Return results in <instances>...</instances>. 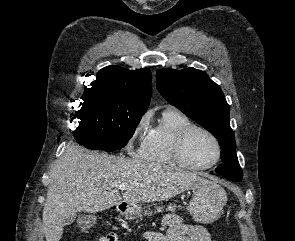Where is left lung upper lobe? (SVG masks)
Returning a JSON list of instances; mask_svg holds the SVG:
<instances>
[{
  "label": "left lung upper lobe",
  "mask_w": 295,
  "mask_h": 241,
  "mask_svg": "<svg viewBox=\"0 0 295 241\" xmlns=\"http://www.w3.org/2000/svg\"><path fill=\"white\" fill-rule=\"evenodd\" d=\"M156 78L158 91L171 105L219 140L223 164L215 171L240 181L243 173L235 153V137L229 122L230 108L221 88L205 72L193 67L161 69L157 71Z\"/></svg>",
  "instance_id": "obj_1"
}]
</instances>
